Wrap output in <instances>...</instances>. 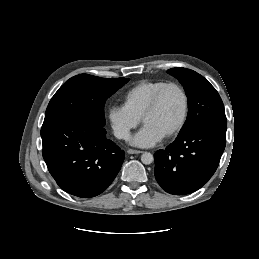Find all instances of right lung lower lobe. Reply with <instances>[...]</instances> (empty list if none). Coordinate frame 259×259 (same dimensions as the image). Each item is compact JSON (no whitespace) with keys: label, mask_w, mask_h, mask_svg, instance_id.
<instances>
[{"label":"right lung lower lobe","mask_w":259,"mask_h":259,"mask_svg":"<svg viewBox=\"0 0 259 259\" xmlns=\"http://www.w3.org/2000/svg\"><path fill=\"white\" fill-rule=\"evenodd\" d=\"M41 137L50 174L60 188L78 197L102 193L124 160V151L106 138L104 127L84 117L43 124Z\"/></svg>","instance_id":"obj_1"}]
</instances>
